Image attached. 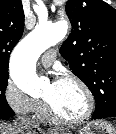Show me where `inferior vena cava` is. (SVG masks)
<instances>
[{
    "label": "inferior vena cava",
    "mask_w": 116,
    "mask_h": 134,
    "mask_svg": "<svg viewBox=\"0 0 116 134\" xmlns=\"http://www.w3.org/2000/svg\"><path fill=\"white\" fill-rule=\"evenodd\" d=\"M17 125L23 134L29 133L35 127L34 122L26 117L18 118Z\"/></svg>",
    "instance_id": "obj_1"
}]
</instances>
